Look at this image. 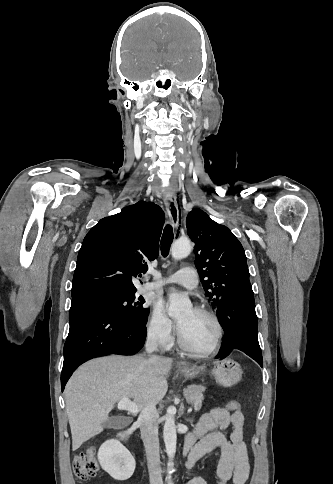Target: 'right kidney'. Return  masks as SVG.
Wrapping results in <instances>:
<instances>
[{
	"instance_id": "obj_1",
	"label": "right kidney",
	"mask_w": 333,
	"mask_h": 484,
	"mask_svg": "<svg viewBox=\"0 0 333 484\" xmlns=\"http://www.w3.org/2000/svg\"><path fill=\"white\" fill-rule=\"evenodd\" d=\"M98 460L103 470L119 481L129 479L135 470V459L118 440L104 442L98 451Z\"/></svg>"
}]
</instances>
